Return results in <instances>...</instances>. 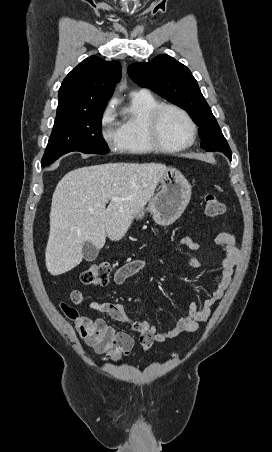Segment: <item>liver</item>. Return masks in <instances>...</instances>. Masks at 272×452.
I'll return each mask as SVG.
<instances>
[{
	"label": "liver",
	"mask_w": 272,
	"mask_h": 452,
	"mask_svg": "<svg viewBox=\"0 0 272 452\" xmlns=\"http://www.w3.org/2000/svg\"><path fill=\"white\" fill-rule=\"evenodd\" d=\"M166 170L158 163H106L68 172L52 197L45 251L48 272L57 276L79 265L85 242L101 249L106 237L121 240Z\"/></svg>",
	"instance_id": "liver-1"
}]
</instances>
